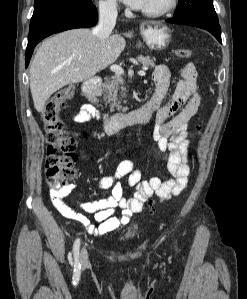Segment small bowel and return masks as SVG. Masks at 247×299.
<instances>
[{
  "label": "small bowel",
  "mask_w": 247,
  "mask_h": 299,
  "mask_svg": "<svg viewBox=\"0 0 247 299\" xmlns=\"http://www.w3.org/2000/svg\"><path fill=\"white\" fill-rule=\"evenodd\" d=\"M180 74L181 79L169 95L171 72L166 65H157L153 72L155 91L149 100L155 107L153 138L162 152L169 153L167 170L170 177L165 180L160 177L142 179L133 161L122 160L113 175L98 180V186L111 190V195L79 203L82 210L93 214L94 222L63 201L76 188V184L54 188L50 193L53 205L62 216L80 223L88 233L101 236L125 226L132 214L142 211L151 197L163 202L182 193L190 173L188 124L196 114L201 98L196 83L195 65L185 64L180 69ZM98 117L99 113L92 105L84 104L71 119L76 123H85ZM123 179L133 188L130 197L124 195ZM118 210L120 215H116Z\"/></svg>",
  "instance_id": "c3829d8e"
}]
</instances>
